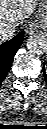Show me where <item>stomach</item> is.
<instances>
[{
	"instance_id": "obj_1",
	"label": "stomach",
	"mask_w": 47,
	"mask_h": 129,
	"mask_svg": "<svg viewBox=\"0 0 47 129\" xmlns=\"http://www.w3.org/2000/svg\"><path fill=\"white\" fill-rule=\"evenodd\" d=\"M37 4L39 6V12L41 13L38 22L41 26L47 28V0H37Z\"/></svg>"
}]
</instances>
